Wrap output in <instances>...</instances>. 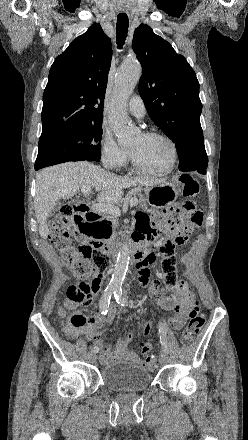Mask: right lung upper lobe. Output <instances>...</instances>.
<instances>
[{"label":"right lung upper lobe","instance_id":"right-lung-upper-lobe-1","mask_svg":"<svg viewBox=\"0 0 248 440\" xmlns=\"http://www.w3.org/2000/svg\"><path fill=\"white\" fill-rule=\"evenodd\" d=\"M111 41L94 23L51 66L43 94L42 134L102 123Z\"/></svg>","mask_w":248,"mask_h":440}]
</instances>
